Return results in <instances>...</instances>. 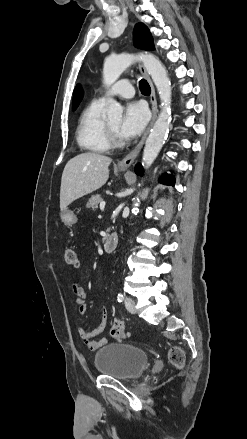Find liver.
<instances>
[{"label": "liver", "mask_w": 247, "mask_h": 439, "mask_svg": "<svg viewBox=\"0 0 247 439\" xmlns=\"http://www.w3.org/2000/svg\"><path fill=\"white\" fill-rule=\"evenodd\" d=\"M112 159L98 153L86 152L70 159L64 167L60 188V209L76 199L102 187L109 178Z\"/></svg>", "instance_id": "1"}]
</instances>
